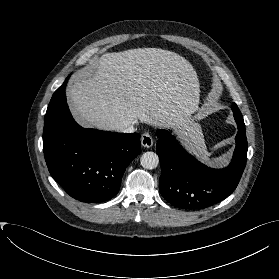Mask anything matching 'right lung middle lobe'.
I'll return each instance as SVG.
<instances>
[{
  "instance_id": "1",
  "label": "right lung middle lobe",
  "mask_w": 279,
  "mask_h": 279,
  "mask_svg": "<svg viewBox=\"0 0 279 279\" xmlns=\"http://www.w3.org/2000/svg\"><path fill=\"white\" fill-rule=\"evenodd\" d=\"M67 79H69V77H67L66 78V80ZM65 80V81H66ZM64 84V83H63ZM63 84L55 91V93L53 94V96H52V98H51V101H50V103H49V106L48 107H51V106H53L54 104H56L58 101H59V99H60V97H61V95H62V93H63Z\"/></svg>"
}]
</instances>
